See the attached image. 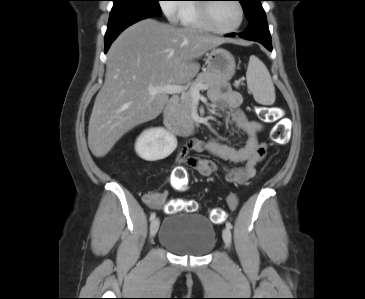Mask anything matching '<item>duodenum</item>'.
<instances>
[{"label":"duodenum","instance_id":"obj_1","mask_svg":"<svg viewBox=\"0 0 365 299\" xmlns=\"http://www.w3.org/2000/svg\"><path fill=\"white\" fill-rule=\"evenodd\" d=\"M178 101L179 99L176 95H173L169 98L167 104L163 109V123L164 126L171 132L177 135H185L192 131L195 125L192 123L184 124L176 121L174 114L178 105Z\"/></svg>","mask_w":365,"mask_h":299}]
</instances>
